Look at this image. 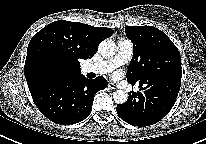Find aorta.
<instances>
[{
    "label": "aorta",
    "mask_w": 206,
    "mask_h": 144,
    "mask_svg": "<svg viewBox=\"0 0 206 144\" xmlns=\"http://www.w3.org/2000/svg\"><path fill=\"white\" fill-rule=\"evenodd\" d=\"M98 51L103 57L109 58L115 55L117 47L114 41L105 39L99 44ZM113 99L115 103L123 104L127 101L128 94L124 90H116L113 92Z\"/></svg>",
    "instance_id": "762f6f07"
}]
</instances>
